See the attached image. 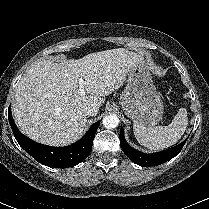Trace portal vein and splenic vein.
Wrapping results in <instances>:
<instances>
[{"instance_id":"obj_1","label":"portal vein and splenic vein","mask_w":209,"mask_h":209,"mask_svg":"<svg viewBox=\"0 0 209 209\" xmlns=\"http://www.w3.org/2000/svg\"><path fill=\"white\" fill-rule=\"evenodd\" d=\"M78 84H79L78 93L80 95H84L85 94V81L81 78L79 79Z\"/></svg>"}]
</instances>
